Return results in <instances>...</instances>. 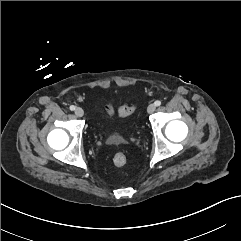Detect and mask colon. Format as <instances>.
<instances>
[{
    "instance_id": "5ec220e1",
    "label": "colon",
    "mask_w": 241,
    "mask_h": 241,
    "mask_svg": "<svg viewBox=\"0 0 241 241\" xmlns=\"http://www.w3.org/2000/svg\"><path fill=\"white\" fill-rule=\"evenodd\" d=\"M133 111H134V107L124 106L118 110V114L121 117H128L133 113ZM113 162L115 166L122 167L127 163V157L123 153H117L113 158Z\"/></svg>"
}]
</instances>
